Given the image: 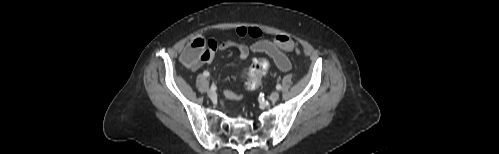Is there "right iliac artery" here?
<instances>
[{
	"instance_id": "82829eb1",
	"label": "right iliac artery",
	"mask_w": 499,
	"mask_h": 154,
	"mask_svg": "<svg viewBox=\"0 0 499 154\" xmlns=\"http://www.w3.org/2000/svg\"><path fill=\"white\" fill-rule=\"evenodd\" d=\"M203 75H204L205 77H208V76H209V72H208V71H204V72H203ZM216 89H217V88H216V86H215V85H212V86H211V90H212V91H215Z\"/></svg>"
}]
</instances>
